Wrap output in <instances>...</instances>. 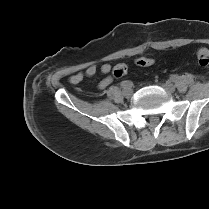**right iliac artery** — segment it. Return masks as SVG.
<instances>
[{
	"mask_svg": "<svg viewBox=\"0 0 209 209\" xmlns=\"http://www.w3.org/2000/svg\"><path fill=\"white\" fill-rule=\"evenodd\" d=\"M121 86H122V88L126 89V88H128V87H131L132 84H131L130 82L125 81V82H123V83L121 84Z\"/></svg>",
	"mask_w": 209,
	"mask_h": 209,
	"instance_id": "82829eb1",
	"label": "right iliac artery"
}]
</instances>
